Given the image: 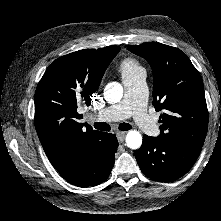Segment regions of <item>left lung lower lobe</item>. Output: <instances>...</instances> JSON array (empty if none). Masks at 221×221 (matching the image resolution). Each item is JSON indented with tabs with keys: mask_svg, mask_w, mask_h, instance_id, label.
Here are the masks:
<instances>
[{
	"mask_svg": "<svg viewBox=\"0 0 221 221\" xmlns=\"http://www.w3.org/2000/svg\"><path fill=\"white\" fill-rule=\"evenodd\" d=\"M134 153L140 169L147 177L170 182L191 169L200 151L170 138L144 135L142 146Z\"/></svg>",
	"mask_w": 221,
	"mask_h": 221,
	"instance_id": "obj_1",
	"label": "left lung lower lobe"
}]
</instances>
